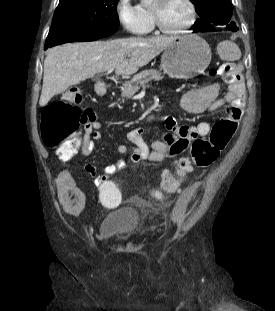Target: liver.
Returning a JSON list of instances; mask_svg holds the SVG:
<instances>
[{"mask_svg":"<svg viewBox=\"0 0 275 311\" xmlns=\"http://www.w3.org/2000/svg\"><path fill=\"white\" fill-rule=\"evenodd\" d=\"M177 37H131L108 42L72 43L52 48L44 60L40 106L97 73L115 70L132 75L164 51Z\"/></svg>","mask_w":275,"mask_h":311,"instance_id":"1","label":"liver"}]
</instances>
